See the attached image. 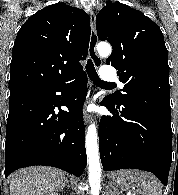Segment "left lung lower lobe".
<instances>
[{"label":"left lung lower lobe","instance_id":"left-lung-lower-lobe-1","mask_svg":"<svg viewBox=\"0 0 178 195\" xmlns=\"http://www.w3.org/2000/svg\"><path fill=\"white\" fill-rule=\"evenodd\" d=\"M113 116L99 125V150L106 171L133 168L152 172L167 185L172 162L171 110L110 97L101 103Z\"/></svg>","mask_w":178,"mask_h":195}]
</instances>
